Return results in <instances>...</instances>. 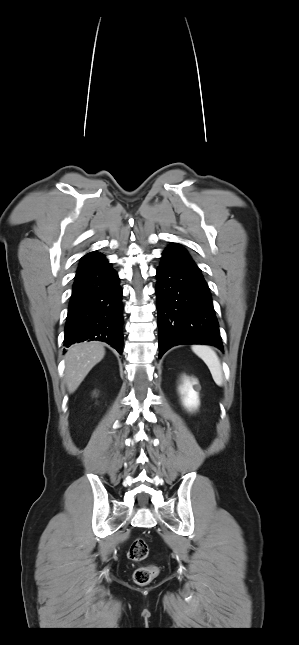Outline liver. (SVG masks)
I'll list each match as a JSON object with an SVG mask.
<instances>
[{"mask_svg": "<svg viewBox=\"0 0 299 645\" xmlns=\"http://www.w3.org/2000/svg\"><path fill=\"white\" fill-rule=\"evenodd\" d=\"M105 355V349L98 342H83L70 347L65 355V381L68 391L73 393Z\"/></svg>", "mask_w": 299, "mask_h": 645, "instance_id": "liver-1", "label": "liver"}]
</instances>
